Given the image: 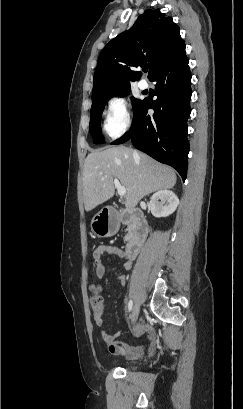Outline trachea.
Returning a JSON list of instances; mask_svg holds the SVG:
<instances>
[{"mask_svg": "<svg viewBox=\"0 0 243 409\" xmlns=\"http://www.w3.org/2000/svg\"><path fill=\"white\" fill-rule=\"evenodd\" d=\"M147 70H148V69H147V68H145V69H144V72H147Z\"/></svg>", "mask_w": 243, "mask_h": 409, "instance_id": "trachea-1", "label": "trachea"}]
</instances>
